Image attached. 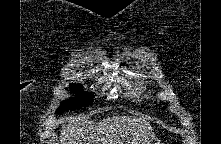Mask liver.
Masks as SVG:
<instances>
[{
	"instance_id": "6515ba94",
	"label": "liver",
	"mask_w": 221,
	"mask_h": 144,
	"mask_svg": "<svg viewBox=\"0 0 221 144\" xmlns=\"http://www.w3.org/2000/svg\"><path fill=\"white\" fill-rule=\"evenodd\" d=\"M67 118L60 144H141L154 137L150 123L132 116H114L100 121Z\"/></svg>"
}]
</instances>
